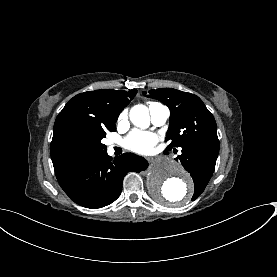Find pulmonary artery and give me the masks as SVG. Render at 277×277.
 <instances>
[{
  "mask_svg": "<svg viewBox=\"0 0 277 277\" xmlns=\"http://www.w3.org/2000/svg\"><path fill=\"white\" fill-rule=\"evenodd\" d=\"M148 112L152 123L156 126H163L170 116L169 108L158 102L151 103L148 106Z\"/></svg>",
  "mask_w": 277,
  "mask_h": 277,
  "instance_id": "pulmonary-artery-1",
  "label": "pulmonary artery"
}]
</instances>
